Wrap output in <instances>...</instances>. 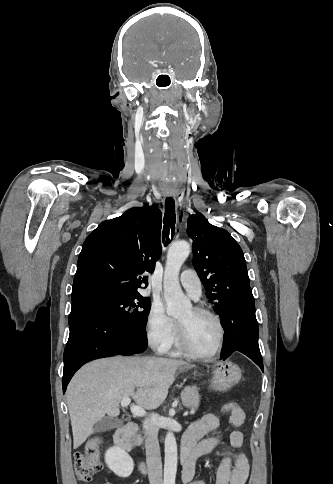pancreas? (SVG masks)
I'll return each instance as SVG.
<instances>
[{
    "label": "pancreas",
    "mask_w": 333,
    "mask_h": 484,
    "mask_svg": "<svg viewBox=\"0 0 333 484\" xmlns=\"http://www.w3.org/2000/svg\"><path fill=\"white\" fill-rule=\"evenodd\" d=\"M181 399L186 407L192 410L197 409L200 404L199 389L195 386L185 387L181 393ZM138 442H142V438L140 436L138 437Z\"/></svg>",
    "instance_id": "obj_1"
}]
</instances>
